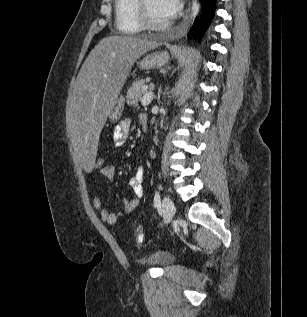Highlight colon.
<instances>
[{
    "label": "colon",
    "instance_id": "5ec220e1",
    "mask_svg": "<svg viewBox=\"0 0 307 317\" xmlns=\"http://www.w3.org/2000/svg\"><path fill=\"white\" fill-rule=\"evenodd\" d=\"M105 165L106 164H105L104 157L103 156H97L96 159H95L94 168L101 170ZM135 236H136V239L138 241L142 240V228L140 226H137L135 228Z\"/></svg>",
    "mask_w": 307,
    "mask_h": 317
}]
</instances>
